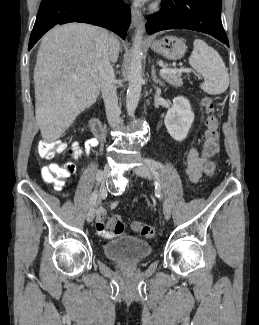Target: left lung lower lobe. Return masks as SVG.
I'll return each mask as SVG.
<instances>
[{"label": "left lung lower lobe", "mask_w": 259, "mask_h": 325, "mask_svg": "<svg viewBox=\"0 0 259 325\" xmlns=\"http://www.w3.org/2000/svg\"><path fill=\"white\" fill-rule=\"evenodd\" d=\"M221 0H162V9L149 17L148 34L180 28L207 33L229 46L221 22Z\"/></svg>", "instance_id": "1"}]
</instances>
